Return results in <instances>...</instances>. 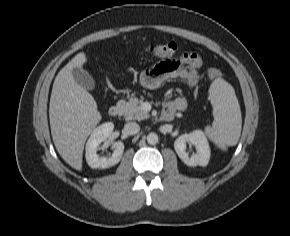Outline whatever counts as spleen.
I'll return each mask as SVG.
<instances>
[{"instance_id":"obj_1","label":"spleen","mask_w":290,"mask_h":236,"mask_svg":"<svg viewBox=\"0 0 290 236\" xmlns=\"http://www.w3.org/2000/svg\"><path fill=\"white\" fill-rule=\"evenodd\" d=\"M210 101L214 121L207 126L208 137L221 149L236 145L241 134L242 117L240 105L233 87L223 79H216L210 85Z\"/></svg>"}]
</instances>
